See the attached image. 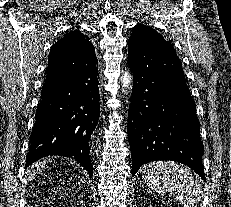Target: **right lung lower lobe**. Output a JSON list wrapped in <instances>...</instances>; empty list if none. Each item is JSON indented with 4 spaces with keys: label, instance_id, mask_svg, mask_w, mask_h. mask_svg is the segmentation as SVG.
<instances>
[{
    "label": "right lung lower lobe",
    "instance_id": "98d812e1",
    "mask_svg": "<svg viewBox=\"0 0 231 207\" xmlns=\"http://www.w3.org/2000/svg\"><path fill=\"white\" fill-rule=\"evenodd\" d=\"M96 55L72 70L47 68L26 167L48 155L74 157L93 175L90 141L99 116Z\"/></svg>",
    "mask_w": 231,
    "mask_h": 207
}]
</instances>
